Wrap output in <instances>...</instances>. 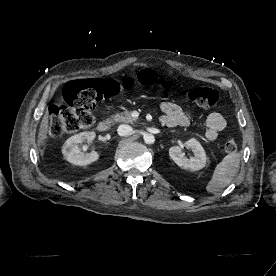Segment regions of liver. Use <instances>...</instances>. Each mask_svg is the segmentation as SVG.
Segmentation results:
<instances>
[{
	"label": "liver",
	"mask_w": 276,
	"mask_h": 276,
	"mask_svg": "<svg viewBox=\"0 0 276 276\" xmlns=\"http://www.w3.org/2000/svg\"><path fill=\"white\" fill-rule=\"evenodd\" d=\"M134 66H144V64H134ZM49 118H50V115L47 110L45 115L42 118L39 133H38V144L40 146H43L48 138L47 133L49 128Z\"/></svg>",
	"instance_id": "6515ba94"
}]
</instances>
